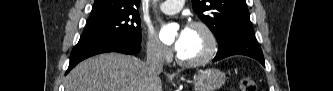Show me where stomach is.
Listing matches in <instances>:
<instances>
[{"label":"stomach","instance_id":"stomach-1","mask_svg":"<svg viewBox=\"0 0 333 91\" xmlns=\"http://www.w3.org/2000/svg\"><path fill=\"white\" fill-rule=\"evenodd\" d=\"M226 81L225 74L218 69H207L199 72L194 78L196 91H216Z\"/></svg>","mask_w":333,"mask_h":91}]
</instances>
